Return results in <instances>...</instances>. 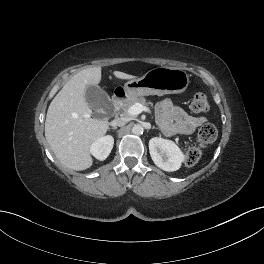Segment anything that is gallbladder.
Listing matches in <instances>:
<instances>
[{
    "label": "gallbladder",
    "mask_w": 264,
    "mask_h": 264,
    "mask_svg": "<svg viewBox=\"0 0 264 264\" xmlns=\"http://www.w3.org/2000/svg\"><path fill=\"white\" fill-rule=\"evenodd\" d=\"M85 99L88 105L95 111L105 109L110 105V97L99 86L89 85L86 88ZM97 118H102L103 115L100 112H96Z\"/></svg>",
    "instance_id": "bac80fb5"
}]
</instances>
